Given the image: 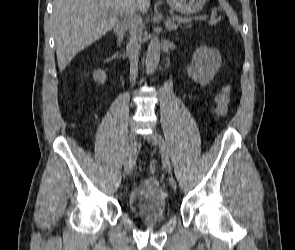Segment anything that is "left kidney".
<instances>
[{
    "label": "left kidney",
    "mask_w": 295,
    "mask_h": 250,
    "mask_svg": "<svg viewBox=\"0 0 295 250\" xmlns=\"http://www.w3.org/2000/svg\"><path fill=\"white\" fill-rule=\"evenodd\" d=\"M222 58L215 49L200 47L193 54L192 64L187 73L196 83L205 86L209 84L221 67Z\"/></svg>",
    "instance_id": "1"
}]
</instances>
